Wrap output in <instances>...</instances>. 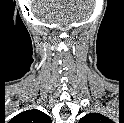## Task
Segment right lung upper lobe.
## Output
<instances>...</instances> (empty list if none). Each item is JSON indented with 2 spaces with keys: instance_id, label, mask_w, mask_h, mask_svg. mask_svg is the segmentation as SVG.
Returning <instances> with one entry per match:
<instances>
[{
  "instance_id": "1",
  "label": "right lung upper lobe",
  "mask_w": 124,
  "mask_h": 123,
  "mask_svg": "<svg viewBox=\"0 0 124 123\" xmlns=\"http://www.w3.org/2000/svg\"><path fill=\"white\" fill-rule=\"evenodd\" d=\"M20 123H51V118L39 110L24 111L13 118Z\"/></svg>"
}]
</instances>
